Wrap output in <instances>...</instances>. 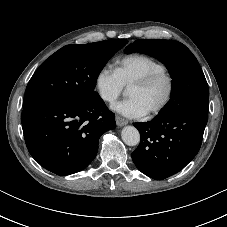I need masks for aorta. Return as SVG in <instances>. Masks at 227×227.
Listing matches in <instances>:
<instances>
[{
  "label": "aorta",
  "mask_w": 227,
  "mask_h": 227,
  "mask_svg": "<svg viewBox=\"0 0 227 227\" xmlns=\"http://www.w3.org/2000/svg\"><path fill=\"white\" fill-rule=\"evenodd\" d=\"M121 137L128 146H136L140 142L139 131L134 126H126L122 129Z\"/></svg>",
  "instance_id": "762f6f07"
}]
</instances>
